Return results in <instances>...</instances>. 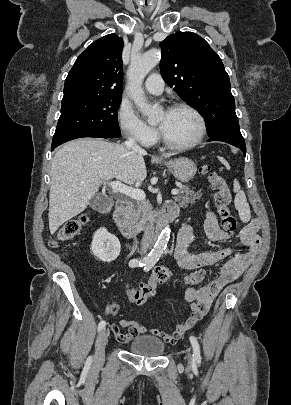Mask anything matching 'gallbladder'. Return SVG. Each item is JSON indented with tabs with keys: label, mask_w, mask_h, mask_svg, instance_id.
Wrapping results in <instances>:
<instances>
[{
	"label": "gallbladder",
	"mask_w": 291,
	"mask_h": 405,
	"mask_svg": "<svg viewBox=\"0 0 291 405\" xmlns=\"http://www.w3.org/2000/svg\"><path fill=\"white\" fill-rule=\"evenodd\" d=\"M89 205L97 212H105L111 209L113 201L109 196L104 194H96L91 198Z\"/></svg>",
	"instance_id": "obj_1"
}]
</instances>
